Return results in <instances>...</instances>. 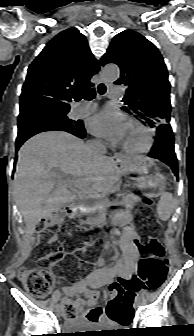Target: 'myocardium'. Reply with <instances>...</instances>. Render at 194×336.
<instances>
[{
  "label": "myocardium",
  "mask_w": 194,
  "mask_h": 336,
  "mask_svg": "<svg viewBox=\"0 0 194 336\" xmlns=\"http://www.w3.org/2000/svg\"><path fill=\"white\" fill-rule=\"evenodd\" d=\"M128 124L139 129L146 135V143L140 148H131L124 144H121L120 147L122 151H124L127 154H134V155L148 153L153 148L155 143V135L152 129L134 119H130L128 121Z\"/></svg>",
  "instance_id": "myocardium-1"
}]
</instances>
